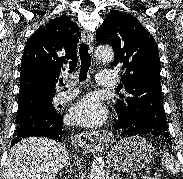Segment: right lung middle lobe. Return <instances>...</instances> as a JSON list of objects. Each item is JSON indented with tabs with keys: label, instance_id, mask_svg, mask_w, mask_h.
<instances>
[{
	"label": "right lung middle lobe",
	"instance_id": "right-lung-middle-lobe-1",
	"mask_svg": "<svg viewBox=\"0 0 183 179\" xmlns=\"http://www.w3.org/2000/svg\"><path fill=\"white\" fill-rule=\"evenodd\" d=\"M53 96L54 94H30L19 97L16 123L25 121L34 112L56 113L52 105Z\"/></svg>",
	"mask_w": 183,
	"mask_h": 179
}]
</instances>
